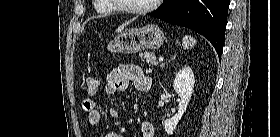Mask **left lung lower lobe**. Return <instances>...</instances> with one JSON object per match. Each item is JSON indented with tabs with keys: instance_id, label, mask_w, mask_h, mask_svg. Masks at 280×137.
Listing matches in <instances>:
<instances>
[{
	"instance_id": "obj_1",
	"label": "left lung lower lobe",
	"mask_w": 280,
	"mask_h": 137,
	"mask_svg": "<svg viewBox=\"0 0 280 137\" xmlns=\"http://www.w3.org/2000/svg\"><path fill=\"white\" fill-rule=\"evenodd\" d=\"M229 0H167L149 15L187 27L206 37L221 58Z\"/></svg>"
}]
</instances>
